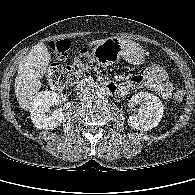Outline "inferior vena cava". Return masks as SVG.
<instances>
[{"label":"inferior vena cava","mask_w":195,"mask_h":195,"mask_svg":"<svg viewBox=\"0 0 195 195\" xmlns=\"http://www.w3.org/2000/svg\"><path fill=\"white\" fill-rule=\"evenodd\" d=\"M93 97V92L89 89H83L80 93H79V98L81 100H88L90 98Z\"/></svg>","instance_id":"1"}]
</instances>
